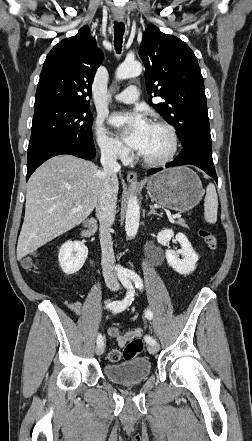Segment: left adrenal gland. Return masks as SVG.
Returning <instances> with one entry per match:
<instances>
[{
	"mask_svg": "<svg viewBox=\"0 0 252 441\" xmlns=\"http://www.w3.org/2000/svg\"><path fill=\"white\" fill-rule=\"evenodd\" d=\"M157 215V216H161L160 214H158L157 212H156V210L154 209V207H153V205H150V212L148 213V215L147 216H150V215Z\"/></svg>",
	"mask_w": 252,
	"mask_h": 441,
	"instance_id": "obj_1",
	"label": "left adrenal gland"
}]
</instances>
